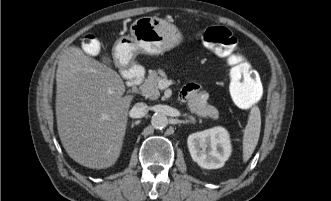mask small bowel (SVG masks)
Here are the masks:
<instances>
[{
	"instance_id": "1",
	"label": "small bowel",
	"mask_w": 331,
	"mask_h": 201,
	"mask_svg": "<svg viewBox=\"0 0 331 201\" xmlns=\"http://www.w3.org/2000/svg\"><path fill=\"white\" fill-rule=\"evenodd\" d=\"M198 89V86L195 84H189L187 85L183 91L180 94V99L181 100H186L190 95L195 93Z\"/></svg>"
}]
</instances>
